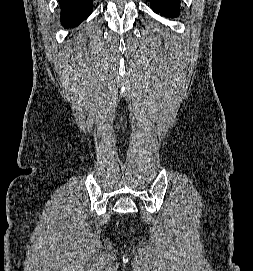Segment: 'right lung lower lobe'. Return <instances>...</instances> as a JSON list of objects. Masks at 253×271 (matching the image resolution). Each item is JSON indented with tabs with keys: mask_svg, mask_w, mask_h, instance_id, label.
Returning <instances> with one entry per match:
<instances>
[{
	"mask_svg": "<svg viewBox=\"0 0 253 271\" xmlns=\"http://www.w3.org/2000/svg\"><path fill=\"white\" fill-rule=\"evenodd\" d=\"M61 23L64 27H74L87 18L93 10V0H59Z\"/></svg>",
	"mask_w": 253,
	"mask_h": 271,
	"instance_id": "1",
	"label": "right lung lower lobe"
}]
</instances>
